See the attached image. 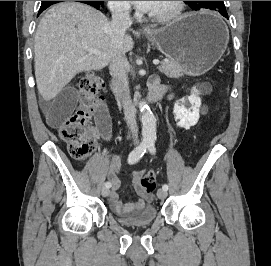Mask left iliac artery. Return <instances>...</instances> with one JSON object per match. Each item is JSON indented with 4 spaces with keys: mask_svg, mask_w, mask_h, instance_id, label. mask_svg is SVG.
Listing matches in <instances>:
<instances>
[{
    "mask_svg": "<svg viewBox=\"0 0 271 266\" xmlns=\"http://www.w3.org/2000/svg\"><path fill=\"white\" fill-rule=\"evenodd\" d=\"M148 150L150 151V153L154 154L155 151H156V148H155V144H154V141H150L149 142V145H148ZM162 189L164 190H168V185L167 184H163L162 185Z\"/></svg>",
    "mask_w": 271,
    "mask_h": 266,
    "instance_id": "1",
    "label": "left iliac artery"
}]
</instances>
